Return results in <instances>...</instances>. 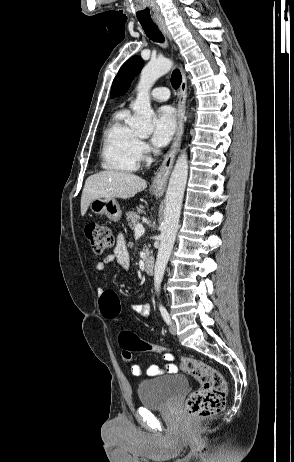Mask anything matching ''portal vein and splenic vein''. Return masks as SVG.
Instances as JSON below:
<instances>
[{"mask_svg": "<svg viewBox=\"0 0 294 462\" xmlns=\"http://www.w3.org/2000/svg\"><path fill=\"white\" fill-rule=\"evenodd\" d=\"M145 233V229L142 224H137L135 227V235L141 236Z\"/></svg>", "mask_w": 294, "mask_h": 462, "instance_id": "1", "label": "portal vein and splenic vein"}]
</instances>
